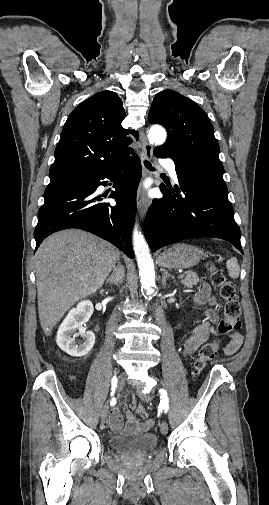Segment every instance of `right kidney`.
<instances>
[{
    "label": "right kidney",
    "instance_id": "obj_1",
    "mask_svg": "<svg viewBox=\"0 0 269 505\" xmlns=\"http://www.w3.org/2000/svg\"><path fill=\"white\" fill-rule=\"evenodd\" d=\"M93 304L89 300L80 302L73 308L63 320L57 332V344L67 354L73 357H82L88 354L95 343V335L91 331H85L83 325L93 314ZM79 333H76V331ZM81 335L83 343H76L75 338Z\"/></svg>",
    "mask_w": 269,
    "mask_h": 505
}]
</instances>
